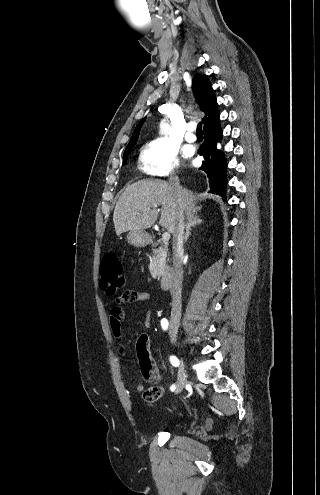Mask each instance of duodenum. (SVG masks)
<instances>
[{
	"label": "duodenum",
	"mask_w": 320,
	"mask_h": 495,
	"mask_svg": "<svg viewBox=\"0 0 320 495\" xmlns=\"http://www.w3.org/2000/svg\"><path fill=\"white\" fill-rule=\"evenodd\" d=\"M174 277V270L171 265L165 267L161 277H160V286L163 289H167L172 285Z\"/></svg>",
	"instance_id": "duodenum-1"
}]
</instances>
